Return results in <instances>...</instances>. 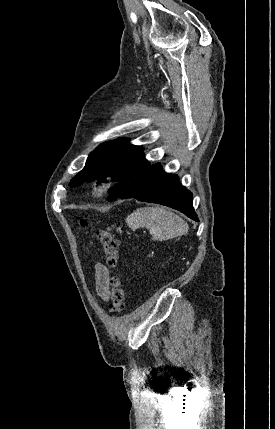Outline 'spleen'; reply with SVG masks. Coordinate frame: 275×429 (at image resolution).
<instances>
[{"mask_svg":"<svg viewBox=\"0 0 275 429\" xmlns=\"http://www.w3.org/2000/svg\"><path fill=\"white\" fill-rule=\"evenodd\" d=\"M132 229L146 227L154 241H164L188 232V224L181 217L163 207L136 209L126 219Z\"/></svg>","mask_w":275,"mask_h":429,"instance_id":"1","label":"spleen"}]
</instances>
